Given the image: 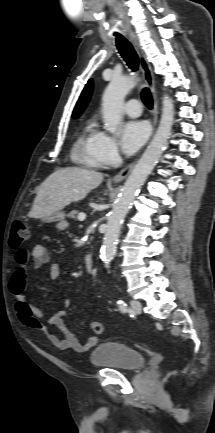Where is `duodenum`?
I'll list each match as a JSON object with an SVG mask.
<instances>
[{"label": "duodenum", "instance_id": "1", "mask_svg": "<svg viewBox=\"0 0 215 433\" xmlns=\"http://www.w3.org/2000/svg\"><path fill=\"white\" fill-rule=\"evenodd\" d=\"M84 266L86 268V270L90 273H92L94 271V263H93V258L91 255H85L84 256Z\"/></svg>", "mask_w": 215, "mask_h": 433}]
</instances>
